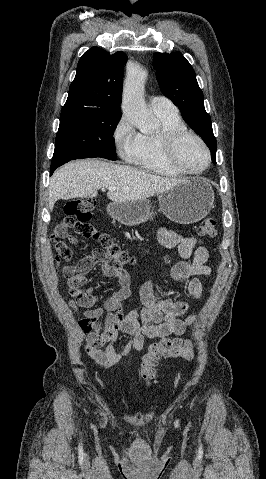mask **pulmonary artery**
I'll return each instance as SVG.
<instances>
[{"mask_svg": "<svg viewBox=\"0 0 266 479\" xmlns=\"http://www.w3.org/2000/svg\"><path fill=\"white\" fill-rule=\"evenodd\" d=\"M151 108L155 113L177 114L176 106L166 97L154 96L150 100Z\"/></svg>", "mask_w": 266, "mask_h": 479, "instance_id": "e3ab8cb5", "label": "pulmonary artery"}]
</instances>
